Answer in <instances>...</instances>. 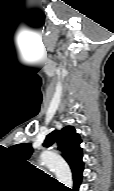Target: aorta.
<instances>
[{"label": "aorta", "instance_id": "762f6f07", "mask_svg": "<svg viewBox=\"0 0 114 191\" xmlns=\"http://www.w3.org/2000/svg\"><path fill=\"white\" fill-rule=\"evenodd\" d=\"M40 162L48 166L56 175L58 182L71 188L72 173L68 164L58 154L50 151H43L40 154Z\"/></svg>", "mask_w": 114, "mask_h": 191}]
</instances>
